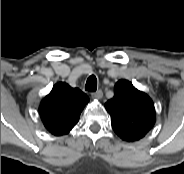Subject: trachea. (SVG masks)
Wrapping results in <instances>:
<instances>
[{
    "label": "trachea",
    "instance_id": "obj_1",
    "mask_svg": "<svg viewBox=\"0 0 184 174\" xmlns=\"http://www.w3.org/2000/svg\"><path fill=\"white\" fill-rule=\"evenodd\" d=\"M85 90L94 92L97 90V79L95 75H91L86 82Z\"/></svg>",
    "mask_w": 184,
    "mask_h": 174
}]
</instances>
